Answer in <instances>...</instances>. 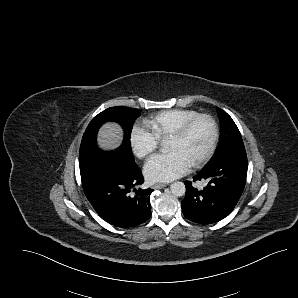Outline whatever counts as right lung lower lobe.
<instances>
[{"label":"right lung lower lobe","instance_id":"obj_1","mask_svg":"<svg viewBox=\"0 0 298 298\" xmlns=\"http://www.w3.org/2000/svg\"><path fill=\"white\" fill-rule=\"evenodd\" d=\"M83 190L96 212L108 223L134 227L151 216L150 194L152 189H134L144 182L136 164L125 165L114 160L103 164V169L81 176Z\"/></svg>","mask_w":298,"mask_h":298}]
</instances>
